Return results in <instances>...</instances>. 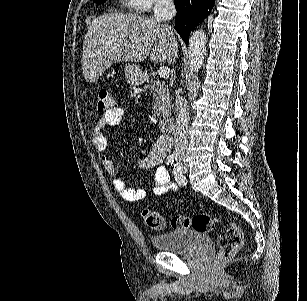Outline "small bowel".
<instances>
[{
	"label": "small bowel",
	"instance_id": "obj_1",
	"mask_svg": "<svg viewBox=\"0 0 307 301\" xmlns=\"http://www.w3.org/2000/svg\"><path fill=\"white\" fill-rule=\"evenodd\" d=\"M125 116L123 108L111 106L103 116L97 121L92 132V142L94 147L104 152L107 148V139L104 130L107 126L119 125ZM170 148L167 138L159 139L149 150L147 155L139 161V166L143 169L153 168L154 175L147 188L132 189L121 179L120 168L106 155L102 156V161L107 173L113 178V185L119 195L126 201L135 202L146 197L148 192L155 196L163 195L168 191H177L178 186L170 182L169 173L163 166V160Z\"/></svg>",
	"mask_w": 307,
	"mask_h": 301
}]
</instances>
